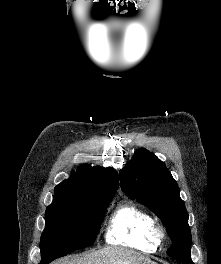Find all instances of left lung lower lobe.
I'll use <instances>...</instances> for the list:
<instances>
[{
  "instance_id": "1",
  "label": "left lung lower lobe",
  "mask_w": 221,
  "mask_h": 264,
  "mask_svg": "<svg viewBox=\"0 0 221 264\" xmlns=\"http://www.w3.org/2000/svg\"><path fill=\"white\" fill-rule=\"evenodd\" d=\"M183 264H194L191 259H186V260H183L181 261Z\"/></svg>"
}]
</instances>
